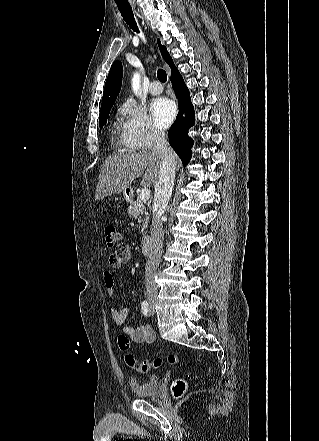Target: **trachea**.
<instances>
[{
  "label": "trachea",
  "instance_id": "trachea-1",
  "mask_svg": "<svg viewBox=\"0 0 319 441\" xmlns=\"http://www.w3.org/2000/svg\"><path fill=\"white\" fill-rule=\"evenodd\" d=\"M118 9H119L124 21L129 25V27L133 31L139 33V29L136 24L131 6L118 5ZM157 77L162 83H165L167 81V74L163 69H158Z\"/></svg>",
  "mask_w": 319,
  "mask_h": 441
}]
</instances>
